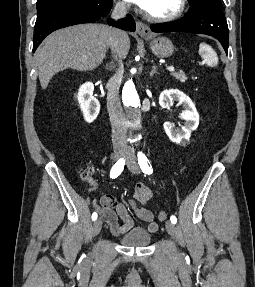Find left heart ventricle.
<instances>
[{"mask_svg":"<svg viewBox=\"0 0 255 287\" xmlns=\"http://www.w3.org/2000/svg\"><path fill=\"white\" fill-rule=\"evenodd\" d=\"M150 33H165V32H150ZM153 39H161V38H153ZM154 48H170V47H154Z\"/></svg>","mask_w":255,"mask_h":287,"instance_id":"obj_1","label":"left heart ventricle"}]
</instances>
